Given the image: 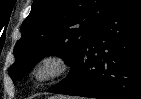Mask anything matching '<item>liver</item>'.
<instances>
[{
	"mask_svg": "<svg viewBox=\"0 0 141 99\" xmlns=\"http://www.w3.org/2000/svg\"><path fill=\"white\" fill-rule=\"evenodd\" d=\"M51 99H62V98L55 96V97H53Z\"/></svg>",
	"mask_w": 141,
	"mask_h": 99,
	"instance_id": "1",
	"label": "liver"
}]
</instances>
